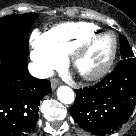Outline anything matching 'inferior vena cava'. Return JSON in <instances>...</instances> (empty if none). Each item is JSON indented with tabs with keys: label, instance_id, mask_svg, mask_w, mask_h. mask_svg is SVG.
<instances>
[{
	"label": "inferior vena cava",
	"instance_id": "1",
	"mask_svg": "<svg viewBox=\"0 0 136 136\" xmlns=\"http://www.w3.org/2000/svg\"><path fill=\"white\" fill-rule=\"evenodd\" d=\"M28 70L32 76L39 79H46L53 75L52 69L39 63H30Z\"/></svg>",
	"mask_w": 136,
	"mask_h": 136
}]
</instances>
